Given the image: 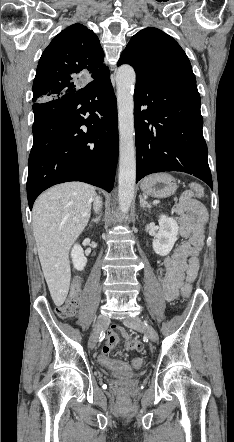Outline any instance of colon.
<instances>
[{
    "label": "colon",
    "mask_w": 234,
    "mask_h": 442,
    "mask_svg": "<svg viewBox=\"0 0 234 442\" xmlns=\"http://www.w3.org/2000/svg\"><path fill=\"white\" fill-rule=\"evenodd\" d=\"M189 188L191 192H193L198 198L203 197L204 195V189L203 186L199 183L192 182L189 184ZM82 282L81 279H75L71 285L69 296L66 299V301L60 305L57 309V315L61 318L67 319L72 316H74L76 309L78 307L79 303V295L81 292ZM192 288L189 284H185L182 287V295L184 297H189L191 294ZM133 342H136L133 340ZM137 351L136 349H134ZM97 360L107 368L114 370L115 372L119 373H127L130 371V362L125 359H113V354L111 350L104 349L101 352L97 353L96 355ZM132 362V368L135 371L140 370V368L143 366V361L138 356H134L131 359Z\"/></svg>",
    "instance_id": "5ec220e1"
}]
</instances>
